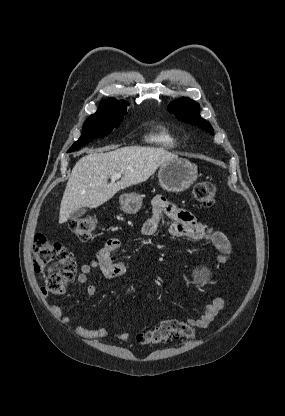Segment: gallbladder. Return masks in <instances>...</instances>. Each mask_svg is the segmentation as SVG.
<instances>
[{
    "label": "gallbladder",
    "mask_w": 285,
    "mask_h": 416,
    "mask_svg": "<svg viewBox=\"0 0 285 416\" xmlns=\"http://www.w3.org/2000/svg\"><path fill=\"white\" fill-rule=\"evenodd\" d=\"M84 214H86V208H79V210L70 214V220H78V218H81Z\"/></svg>",
    "instance_id": "bac80fb5"
}]
</instances>
